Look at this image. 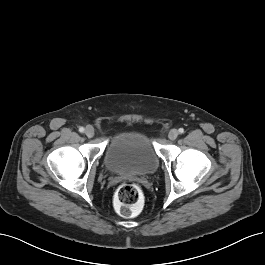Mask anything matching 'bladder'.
<instances>
[{
  "instance_id": "1",
  "label": "bladder",
  "mask_w": 265,
  "mask_h": 265,
  "mask_svg": "<svg viewBox=\"0 0 265 265\" xmlns=\"http://www.w3.org/2000/svg\"><path fill=\"white\" fill-rule=\"evenodd\" d=\"M106 168L113 173L145 175L159 166L160 157L150 137L137 129H126L109 142L104 155Z\"/></svg>"
}]
</instances>
